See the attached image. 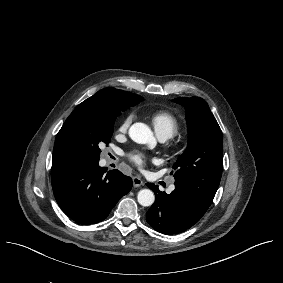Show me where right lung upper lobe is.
Masks as SVG:
<instances>
[{
	"mask_svg": "<svg viewBox=\"0 0 283 283\" xmlns=\"http://www.w3.org/2000/svg\"><path fill=\"white\" fill-rule=\"evenodd\" d=\"M142 100L143 97L130 92L104 88L79 104L56 136L51 176L62 174L82 164L72 147L69 136V129L74 121L81 117L109 113L122 106H135Z\"/></svg>",
	"mask_w": 283,
	"mask_h": 283,
	"instance_id": "right-lung-upper-lobe-1",
	"label": "right lung upper lobe"
}]
</instances>
